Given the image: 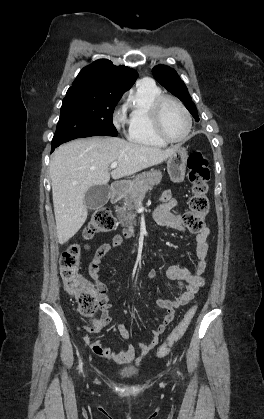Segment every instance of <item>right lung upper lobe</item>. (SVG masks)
Here are the masks:
<instances>
[{
  "mask_svg": "<svg viewBox=\"0 0 264 419\" xmlns=\"http://www.w3.org/2000/svg\"><path fill=\"white\" fill-rule=\"evenodd\" d=\"M136 70L115 66L107 59H100L84 67L71 88H84L95 92L123 95L136 81Z\"/></svg>",
  "mask_w": 264,
  "mask_h": 419,
  "instance_id": "right-lung-upper-lobe-1",
  "label": "right lung upper lobe"
}]
</instances>
